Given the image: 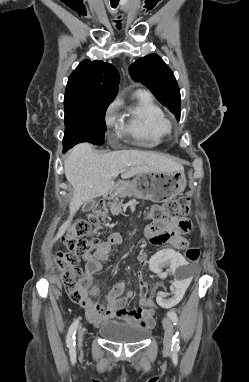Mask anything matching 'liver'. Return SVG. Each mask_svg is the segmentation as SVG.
I'll return each mask as SVG.
<instances>
[{
  "instance_id": "obj_1",
  "label": "liver",
  "mask_w": 249,
  "mask_h": 382,
  "mask_svg": "<svg viewBox=\"0 0 249 382\" xmlns=\"http://www.w3.org/2000/svg\"><path fill=\"white\" fill-rule=\"evenodd\" d=\"M65 176L74 193L69 204V217L59 228L54 239L61 238L82 204L111 192L115 188L113 179L116 171L122 179L144 172L173 173L184 167L164 156L151 151L136 149L97 153L89 143L76 145L64 163Z\"/></svg>"
}]
</instances>
